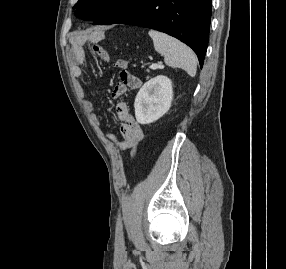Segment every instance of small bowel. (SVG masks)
Segmentation results:
<instances>
[{"mask_svg":"<svg viewBox=\"0 0 286 269\" xmlns=\"http://www.w3.org/2000/svg\"><path fill=\"white\" fill-rule=\"evenodd\" d=\"M94 52L98 55V57L102 61L106 63L111 62L110 54L103 48H102V52H97L95 50ZM70 59L72 62L73 76L76 78L81 77L84 73L86 65H85V53L83 49V44L80 40H77V39L72 40ZM116 65H118V62L115 63V66ZM125 89L126 88L119 89V88H116L115 86L112 95L118 96L122 92H124ZM87 108L89 111H93L94 104L92 100L87 101ZM116 114L120 122V131L124 139L122 142L118 143V146L120 148H130L131 157L132 159L136 160L137 159V146L143 139V129L140 126V124L134 119L128 103L119 102L116 106ZM92 120L95 125H99V119L96 116V114H92ZM109 138L111 141L115 143L117 142L115 134H110Z\"/></svg>","mask_w":286,"mask_h":269,"instance_id":"1","label":"small bowel"}]
</instances>
